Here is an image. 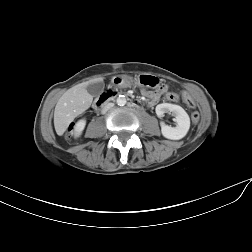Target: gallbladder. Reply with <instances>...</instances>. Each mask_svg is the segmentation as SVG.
<instances>
[{
  "instance_id": "bac80fb5",
  "label": "gallbladder",
  "mask_w": 252,
  "mask_h": 252,
  "mask_svg": "<svg viewBox=\"0 0 252 252\" xmlns=\"http://www.w3.org/2000/svg\"><path fill=\"white\" fill-rule=\"evenodd\" d=\"M104 84L102 82L91 83L86 87L87 92L92 96H98L102 93Z\"/></svg>"
}]
</instances>
